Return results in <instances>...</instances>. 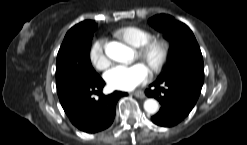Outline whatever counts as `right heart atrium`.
Returning a JSON list of instances; mask_svg holds the SVG:
<instances>
[{"label":"right heart atrium","mask_w":247,"mask_h":145,"mask_svg":"<svg viewBox=\"0 0 247 145\" xmlns=\"http://www.w3.org/2000/svg\"><path fill=\"white\" fill-rule=\"evenodd\" d=\"M89 60L98 70H103L109 65L110 60L105 52V40L103 38H98L92 43L89 50Z\"/></svg>","instance_id":"1"}]
</instances>
